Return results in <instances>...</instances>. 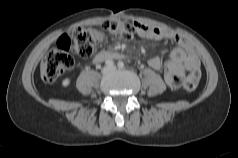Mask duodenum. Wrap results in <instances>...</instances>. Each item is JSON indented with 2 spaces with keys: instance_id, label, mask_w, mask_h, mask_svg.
Segmentation results:
<instances>
[{
  "instance_id": "410a0bca",
  "label": "duodenum",
  "mask_w": 238,
  "mask_h": 158,
  "mask_svg": "<svg viewBox=\"0 0 238 158\" xmlns=\"http://www.w3.org/2000/svg\"><path fill=\"white\" fill-rule=\"evenodd\" d=\"M120 55L113 53V52H109V51H103L98 53L95 58H94V62L98 63V62H102L104 60H109L112 58H119Z\"/></svg>"
}]
</instances>
